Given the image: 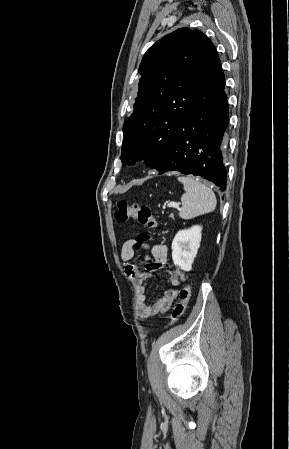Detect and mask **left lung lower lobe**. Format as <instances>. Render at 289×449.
<instances>
[{
    "mask_svg": "<svg viewBox=\"0 0 289 449\" xmlns=\"http://www.w3.org/2000/svg\"><path fill=\"white\" fill-rule=\"evenodd\" d=\"M228 122L225 76L217 56L202 80L191 109L175 126L166 157L155 169L160 174L179 171L200 176L224 191Z\"/></svg>",
    "mask_w": 289,
    "mask_h": 449,
    "instance_id": "left-lung-lower-lobe-1",
    "label": "left lung lower lobe"
}]
</instances>
